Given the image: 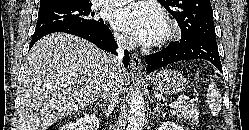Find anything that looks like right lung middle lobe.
Here are the masks:
<instances>
[{"mask_svg": "<svg viewBox=\"0 0 249 130\" xmlns=\"http://www.w3.org/2000/svg\"><path fill=\"white\" fill-rule=\"evenodd\" d=\"M89 0H78L61 5L40 7L35 31L45 30L63 25L100 26L104 21L93 18L95 12L91 10Z\"/></svg>", "mask_w": 249, "mask_h": 130, "instance_id": "1", "label": "right lung middle lobe"}]
</instances>
